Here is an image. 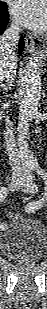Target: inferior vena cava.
<instances>
[{"instance_id": "inferior-vena-cava-1", "label": "inferior vena cava", "mask_w": 47, "mask_h": 309, "mask_svg": "<svg viewBox=\"0 0 47 309\" xmlns=\"http://www.w3.org/2000/svg\"><path fill=\"white\" fill-rule=\"evenodd\" d=\"M22 30L15 24H12L5 30L0 37V80L11 86L15 80V61L17 59L15 47L19 40V34ZM11 123H7V132L5 143L9 160L12 166H17L19 160L15 139L11 130Z\"/></svg>"}]
</instances>
